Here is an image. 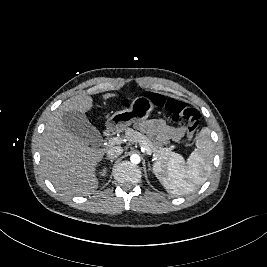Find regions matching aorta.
<instances>
[{"label":"aorta","mask_w":267,"mask_h":267,"mask_svg":"<svg viewBox=\"0 0 267 267\" xmlns=\"http://www.w3.org/2000/svg\"><path fill=\"white\" fill-rule=\"evenodd\" d=\"M130 161L133 163V164H139L141 159H140V156L137 155V154H132L131 157H130Z\"/></svg>","instance_id":"obj_1"}]
</instances>
